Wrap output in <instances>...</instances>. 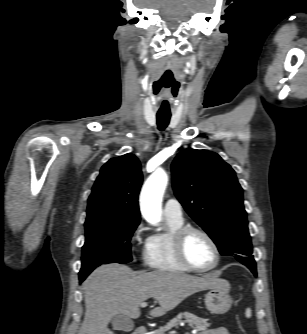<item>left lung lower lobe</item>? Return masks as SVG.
I'll return each instance as SVG.
<instances>
[{"label": "left lung lower lobe", "mask_w": 307, "mask_h": 334, "mask_svg": "<svg viewBox=\"0 0 307 334\" xmlns=\"http://www.w3.org/2000/svg\"><path fill=\"white\" fill-rule=\"evenodd\" d=\"M249 269L252 271V273H253L255 276H257L256 267L249 268Z\"/></svg>", "instance_id": "0a47b994"}]
</instances>
